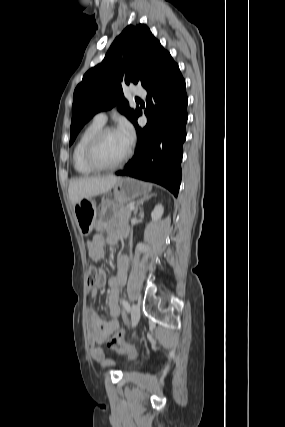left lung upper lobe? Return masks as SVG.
<instances>
[{"label": "left lung upper lobe", "mask_w": 285, "mask_h": 427, "mask_svg": "<svg viewBox=\"0 0 285 427\" xmlns=\"http://www.w3.org/2000/svg\"><path fill=\"white\" fill-rule=\"evenodd\" d=\"M168 53L146 25L127 26L114 40L104 60L86 72L74 91L69 145L97 112L116 104L133 123L141 110L129 108L122 87L141 83L145 88Z\"/></svg>", "instance_id": "1"}]
</instances>
